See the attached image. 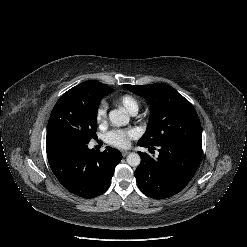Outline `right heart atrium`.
<instances>
[{
	"label": "right heart atrium",
	"instance_id": "obj_1",
	"mask_svg": "<svg viewBox=\"0 0 247 247\" xmlns=\"http://www.w3.org/2000/svg\"><path fill=\"white\" fill-rule=\"evenodd\" d=\"M107 116V106L104 102H101L95 110V118L97 122L103 123Z\"/></svg>",
	"mask_w": 247,
	"mask_h": 247
}]
</instances>
